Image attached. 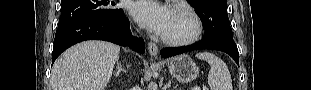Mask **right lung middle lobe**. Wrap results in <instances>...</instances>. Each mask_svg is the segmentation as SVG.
I'll list each match as a JSON object with an SVG mask.
<instances>
[{
  "label": "right lung middle lobe",
  "instance_id": "dd1d6c3e",
  "mask_svg": "<svg viewBox=\"0 0 311 90\" xmlns=\"http://www.w3.org/2000/svg\"><path fill=\"white\" fill-rule=\"evenodd\" d=\"M59 26L85 18H115L123 13L109 0H61Z\"/></svg>",
  "mask_w": 311,
  "mask_h": 90
}]
</instances>
